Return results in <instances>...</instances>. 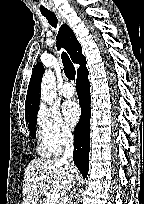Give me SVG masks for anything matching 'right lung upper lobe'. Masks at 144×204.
Segmentation results:
<instances>
[{"mask_svg":"<svg viewBox=\"0 0 144 204\" xmlns=\"http://www.w3.org/2000/svg\"><path fill=\"white\" fill-rule=\"evenodd\" d=\"M64 47L69 53L72 61L80 65L78 71L86 67V58L82 54L80 43L72 31V29L63 24L57 36V49ZM44 73V67L41 63H37L32 71V76L29 82L25 101V116L26 119L37 114L39 109V92L41 87V79Z\"/></svg>","mask_w":144,"mask_h":204,"instance_id":"cb5924a9","label":"right lung upper lobe"}]
</instances>
